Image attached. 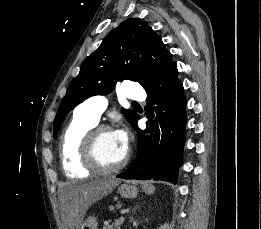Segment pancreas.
Segmentation results:
<instances>
[{"instance_id": "cf45deb5", "label": "pancreas", "mask_w": 261, "mask_h": 229, "mask_svg": "<svg viewBox=\"0 0 261 229\" xmlns=\"http://www.w3.org/2000/svg\"><path fill=\"white\" fill-rule=\"evenodd\" d=\"M119 219H117L118 221ZM117 221L111 225V227H108V225H104L103 229H120V225L117 224Z\"/></svg>"}]
</instances>
